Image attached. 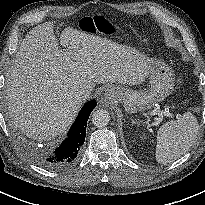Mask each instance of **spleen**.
I'll use <instances>...</instances> for the list:
<instances>
[{
    "mask_svg": "<svg viewBox=\"0 0 205 205\" xmlns=\"http://www.w3.org/2000/svg\"><path fill=\"white\" fill-rule=\"evenodd\" d=\"M198 133L199 123L191 112L163 124L157 132V162L167 164L181 157L194 144Z\"/></svg>",
    "mask_w": 205,
    "mask_h": 205,
    "instance_id": "3e777b00",
    "label": "spleen"
}]
</instances>
